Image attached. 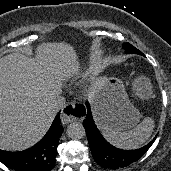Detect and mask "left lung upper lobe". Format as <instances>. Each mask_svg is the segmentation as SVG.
<instances>
[{
    "label": "left lung upper lobe",
    "instance_id": "left-lung-upper-lobe-1",
    "mask_svg": "<svg viewBox=\"0 0 171 171\" xmlns=\"http://www.w3.org/2000/svg\"><path fill=\"white\" fill-rule=\"evenodd\" d=\"M122 47L125 50V52L128 53V54H139V55H143V53L141 51H139L138 49H136L130 43H124L122 45Z\"/></svg>",
    "mask_w": 171,
    "mask_h": 171
}]
</instances>
